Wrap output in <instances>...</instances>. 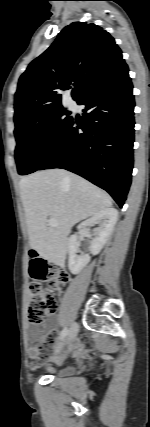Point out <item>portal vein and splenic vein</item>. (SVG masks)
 I'll return each instance as SVG.
<instances>
[{
  "label": "portal vein and splenic vein",
  "instance_id": "obj_1",
  "mask_svg": "<svg viewBox=\"0 0 150 427\" xmlns=\"http://www.w3.org/2000/svg\"><path fill=\"white\" fill-rule=\"evenodd\" d=\"M57 221H56V219L55 218H50L49 220H48V225L49 226H51V227H55V226H57Z\"/></svg>",
  "mask_w": 150,
  "mask_h": 427
}]
</instances>
